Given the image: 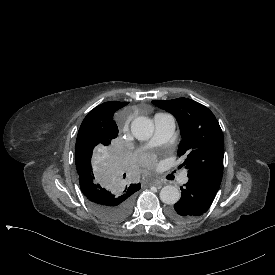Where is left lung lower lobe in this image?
I'll list each match as a JSON object with an SVG mask.
<instances>
[{"mask_svg":"<svg viewBox=\"0 0 275 275\" xmlns=\"http://www.w3.org/2000/svg\"><path fill=\"white\" fill-rule=\"evenodd\" d=\"M180 189L181 198L174 207L167 209V216L173 221L186 222L209 209L219 188L197 179H189Z\"/></svg>","mask_w":275,"mask_h":275,"instance_id":"left-lung-lower-lobe-1","label":"left lung lower lobe"}]
</instances>
